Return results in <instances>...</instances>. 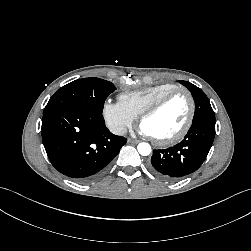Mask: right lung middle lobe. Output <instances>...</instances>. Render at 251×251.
<instances>
[{"label": "right lung middle lobe", "instance_id": "obj_1", "mask_svg": "<svg viewBox=\"0 0 251 251\" xmlns=\"http://www.w3.org/2000/svg\"><path fill=\"white\" fill-rule=\"evenodd\" d=\"M115 86L100 78H83L61 87L49 100L44 111L54 108H82L103 111L106 98Z\"/></svg>", "mask_w": 251, "mask_h": 251}]
</instances>
